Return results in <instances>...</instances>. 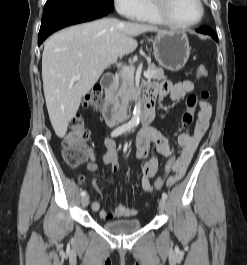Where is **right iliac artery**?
<instances>
[{"label":"right iliac artery","instance_id":"right-iliac-artery-1","mask_svg":"<svg viewBox=\"0 0 247 265\" xmlns=\"http://www.w3.org/2000/svg\"><path fill=\"white\" fill-rule=\"evenodd\" d=\"M132 127H133V124H131V123L124 124V125L116 128L115 130H113V132L111 133V136L116 137V136L122 134L123 132L130 130ZM85 195H86V192L81 191V196L84 197Z\"/></svg>","mask_w":247,"mask_h":265}]
</instances>
